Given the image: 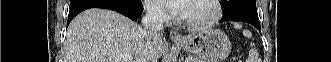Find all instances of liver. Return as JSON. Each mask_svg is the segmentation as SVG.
Returning a JSON list of instances; mask_svg holds the SVG:
<instances>
[{
	"mask_svg": "<svg viewBox=\"0 0 331 62\" xmlns=\"http://www.w3.org/2000/svg\"><path fill=\"white\" fill-rule=\"evenodd\" d=\"M143 42L138 24L117 12L92 8L70 23L63 62H115L118 55L131 56V62H157L165 49L162 38L149 46Z\"/></svg>",
	"mask_w": 331,
	"mask_h": 62,
	"instance_id": "obj_1",
	"label": "liver"
}]
</instances>
